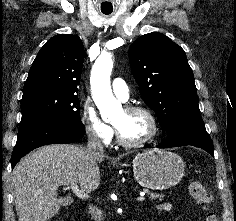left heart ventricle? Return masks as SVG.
<instances>
[{"mask_svg":"<svg viewBox=\"0 0 236 221\" xmlns=\"http://www.w3.org/2000/svg\"><path fill=\"white\" fill-rule=\"evenodd\" d=\"M113 124L118 128L121 136L128 141L144 139L151 131V123L145 114L130 113L124 109L117 115Z\"/></svg>","mask_w":236,"mask_h":221,"instance_id":"left-heart-ventricle-1","label":"left heart ventricle"}]
</instances>
